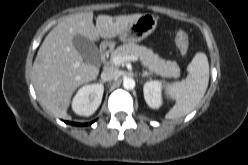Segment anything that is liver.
Listing matches in <instances>:
<instances>
[{"mask_svg":"<svg viewBox=\"0 0 248 165\" xmlns=\"http://www.w3.org/2000/svg\"><path fill=\"white\" fill-rule=\"evenodd\" d=\"M141 16L99 15L94 26L93 12H85L69 15L58 23L44 39L32 68V82L40 105L46 111L66 118L73 92L99 74L98 67L83 62L73 44L74 36L81 35L92 42L100 37L114 38Z\"/></svg>","mask_w":248,"mask_h":165,"instance_id":"obj_1","label":"liver"}]
</instances>
